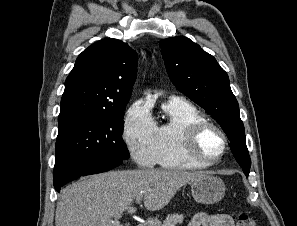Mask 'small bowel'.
I'll return each mask as SVG.
<instances>
[{
    "label": "small bowel",
    "instance_id": "obj_1",
    "mask_svg": "<svg viewBox=\"0 0 297 226\" xmlns=\"http://www.w3.org/2000/svg\"><path fill=\"white\" fill-rule=\"evenodd\" d=\"M187 226H234V221L227 214L196 213Z\"/></svg>",
    "mask_w": 297,
    "mask_h": 226
}]
</instances>
